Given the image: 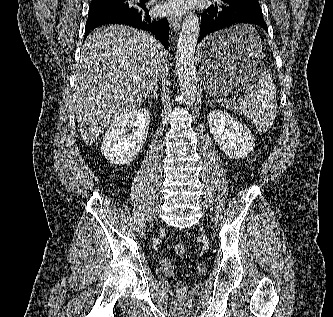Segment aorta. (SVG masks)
<instances>
[{
  "label": "aorta",
  "instance_id": "aorta-1",
  "mask_svg": "<svg viewBox=\"0 0 333 317\" xmlns=\"http://www.w3.org/2000/svg\"><path fill=\"white\" fill-rule=\"evenodd\" d=\"M200 32L197 15L191 13L183 21L176 50V67L183 102L193 105L197 93V76L194 61L195 48Z\"/></svg>",
  "mask_w": 333,
  "mask_h": 317
}]
</instances>
